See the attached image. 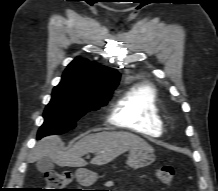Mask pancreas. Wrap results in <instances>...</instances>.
I'll return each mask as SVG.
<instances>
[{"label":"pancreas","mask_w":218,"mask_h":191,"mask_svg":"<svg viewBox=\"0 0 218 191\" xmlns=\"http://www.w3.org/2000/svg\"><path fill=\"white\" fill-rule=\"evenodd\" d=\"M107 186H113V182L112 181L108 182Z\"/></svg>","instance_id":"obj_1"}]
</instances>
